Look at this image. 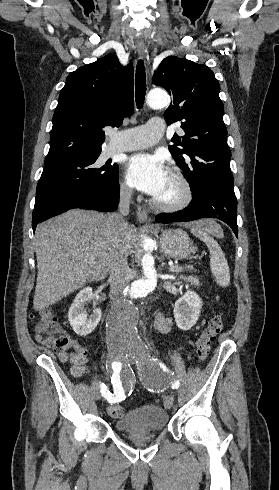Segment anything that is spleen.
Listing matches in <instances>:
<instances>
[{
	"label": "spleen",
	"instance_id": "spleen-1",
	"mask_svg": "<svg viewBox=\"0 0 279 490\" xmlns=\"http://www.w3.org/2000/svg\"><path fill=\"white\" fill-rule=\"evenodd\" d=\"M191 232L194 236L200 238L202 242H205L210 252V268L215 278V282H217L218 286L227 288L230 284L228 262L219 244H217L214 238H211V236L223 238L221 226H219L217 222H214V220H200V222H197L196 226H193Z\"/></svg>",
	"mask_w": 279,
	"mask_h": 490
}]
</instances>
